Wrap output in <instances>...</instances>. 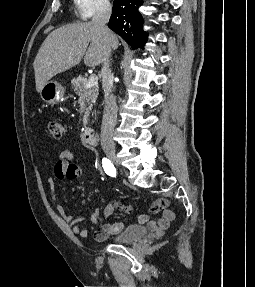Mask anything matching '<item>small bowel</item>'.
I'll use <instances>...</instances> for the list:
<instances>
[{
    "instance_id": "small-bowel-1",
    "label": "small bowel",
    "mask_w": 255,
    "mask_h": 287,
    "mask_svg": "<svg viewBox=\"0 0 255 287\" xmlns=\"http://www.w3.org/2000/svg\"><path fill=\"white\" fill-rule=\"evenodd\" d=\"M72 155L69 151H62L59 155V160L56 162L54 167V177H50L48 180L49 190L53 201L56 204L57 210L62 218L70 225L74 234L80 237H87L89 231L83 228L80 224L85 219L70 213L65 207L59 202L56 196L55 179L57 180H75L80 177L81 169L79 166L71 162ZM125 205L124 200H113L107 204L103 211V217L106 223L94 230V236L97 240H105L109 236L119 233L123 228L122 222H113L112 215L114 211ZM169 201L167 199H158L153 202L151 211L153 213H162L159 219L151 220L149 214H141L138 217V222L141 224H147L148 229L157 235L163 234L170 226L171 222L175 218V214L168 208ZM101 212L99 209H94L89 221L96 223L100 218Z\"/></svg>"
}]
</instances>
